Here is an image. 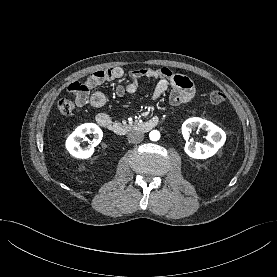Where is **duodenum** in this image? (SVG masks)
Returning a JSON list of instances; mask_svg holds the SVG:
<instances>
[{"instance_id":"duodenum-1","label":"duodenum","mask_w":277,"mask_h":277,"mask_svg":"<svg viewBox=\"0 0 277 277\" xmlns=\"http://www.w3.org/2000/svg\"><path fill=\"white\" fill-rule=\"evenodd\" d=\"M157 124H158V119L151 118L147 121H144V122L139 123L134 126L123 125L121 123L114 122L111 119H103L99 125L105 129H108L109 131L113 132L116 135L122 136V135L128 134L129 132H131L133 130H140L143 132H148V131L152 130L154 127H156Z\"/></svg>"}]
</instances>
